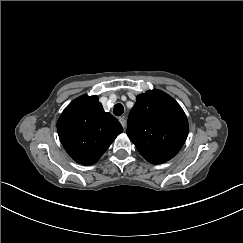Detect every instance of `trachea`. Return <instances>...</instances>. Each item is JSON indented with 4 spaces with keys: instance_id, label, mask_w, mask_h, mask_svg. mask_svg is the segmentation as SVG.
<instances>
[{
    "instance_id": "obj_1",
    "label": "trachea",
    "mask_w": 243,
    "mask_h": 243,
    "mask_svg": "<svg viewBox=\"0 0 243 243\" xmlns=\"http://www.w3.org/2000/svg\"><path fill=\"white\" fill-rule=\"evenodd\" d=\"M113 112H114V115H116V116H121V115L123 114V112H124V107H123V105L120 104V103H117V104L114 106V110H113Z\"/></svg>"
}]
</instances>
